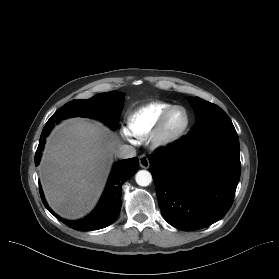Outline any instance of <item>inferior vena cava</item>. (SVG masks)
Returning <instances> with one entry per match:
<instances>
[{"instance_id": "1", "label": "inferior vena cava", "mask_w": 279, "mask_h": 279, "mask_svg": "<svg viewBox=\"0 0 279 279\" xmlns=\"http://www.w3.org/2000/svg\"><path fill=\"white\" fill-rule=\"evenodd\" d=\"M115 154L118 158L128 159L136 156V150L130 145H120Z\"/></svg>"}]
</instances>
